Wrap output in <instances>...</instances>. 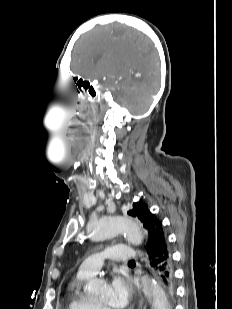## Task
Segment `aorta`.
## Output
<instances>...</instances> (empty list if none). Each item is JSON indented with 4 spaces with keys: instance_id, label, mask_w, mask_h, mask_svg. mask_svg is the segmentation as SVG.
<instances>
[{
    "instance_id": "1",
    "label": "aorta",
    "mask_w": 232,
    "mask_h": 309,
    "mask_svg": "<svg viewBox=\"0 0 232 309\" xmlns=\"http://www.w3.org/2000/svg\"><path fill=\"white\" fill-rule=\"evenodd\" d=\"M89 232L93 241L124 234L127 240L133 245H140L143 242V232L140 225L129 218L121 216L105 217L89 225ZM104 282L93 279L88 282V290L98 294L104 289ZM142 291L151 305V309H170L167 296L157 282L147 276L142 278Z\"/></svg>"
}]
</instances>
